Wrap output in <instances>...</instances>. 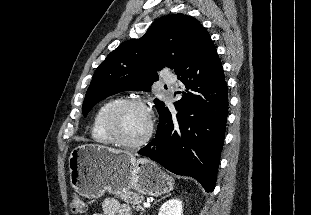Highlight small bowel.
I'll list each match as a JSON object with an SVG mask.
<instances>
[{
  "mask_svg": "<svg viewBox=\"0 0 311 215\" xmlns=\"http://www.w3.org/2000/svg\"><path fill=\"white\" fill-rule=\"evenodd\" d=\"M93 215H132L130 206L120 203L114 198H107L102 205V212Z\"/></svg>",
  "mask_w": 311,
  "mask_h": 215,
  "instance_id": "obj_1",
  "label": "small bowel"
}]
</instances>
